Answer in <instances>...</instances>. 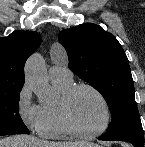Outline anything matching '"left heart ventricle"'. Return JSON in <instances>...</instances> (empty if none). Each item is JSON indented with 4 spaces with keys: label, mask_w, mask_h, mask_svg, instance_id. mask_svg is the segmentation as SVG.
I'll return each mask as SVG.
<instances>
[{
    "label": "left heart ventricle",
    "mask_w": 145,
    "mask_h": 147,
    "mask_svg": "<svg viewBox=\"0 0 145 147\" xmlns=\"http://www.w3.org/2000/svg\"><path fill=\"white\" fill-rule=\"evenodd\" d=\"M71 114L76 124L84 131L100 129L105 122V108L91 91L83 89L77 93L71 104Z\"/></svg>",
    "instance_id": "left-heart-ventricle-1"
}]
</instances>
